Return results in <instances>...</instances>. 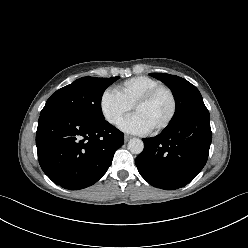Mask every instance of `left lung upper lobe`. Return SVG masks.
<instances>
[{
  "label": "left lung upper lobe",
  "mask_w": 248,
  "mask_h": 248,
  "mask_svg": "<svg viewBox=\"0 0 248 248\" xmlns=\"http://www.w3.org/2000/svg\"><path fill=\"white\" fill-rule=\"evenodd\" d=\"M151 76L164 82L172 91L176 111L168 126L202 111H207L199 90L187 80L165 73H150Z\"/></svg>",
  "instance_id": "obj_1"
}]
</instances>
